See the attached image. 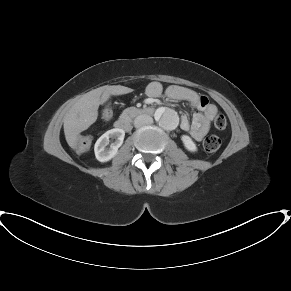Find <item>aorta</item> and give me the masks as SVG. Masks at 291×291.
<instances>
[{
  "label": "aorta",
  "mask_w": 291,
  "mask_h": 291,
  "mask_svg": "<svg viewBox=\"0 0 291 291\" xmlns=\"http://www.w3.org/2000/svg\"><path fill=\"white\" fill-rule=\"evenodd\" d=\"M157 119L159 125L165 130H173L178 125L177 115L169 110H165L164 112L157 114Z\"/></svg>",
  "instance_id": "1"
}]
</instances>
